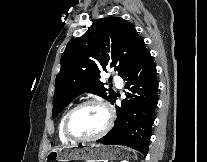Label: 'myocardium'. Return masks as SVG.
<instances>
[{
    "instance_id": "1",
    "label": "myocardium",
    "mask_w": 207,
    "mask_h": 162,
    "mask_svg": "<svg viewBox=\"0 0 207 162\" xmlns=\"http://www.w3.org/2000/svg\"><path fill=\"white\" fill-rule=\"evenodd\" d=\"M89 105H99L102 108H104V110L106 112V116H107L105 126L103 127V129L99 133H97L95 135L86 136V137L75 136L69 130V123H70L71 119L73 118V116L77 112H79L81 109H83ZM114 117H115L114 110L108 102H106L105 100H103L101 98L88 99V100L80 103L76 107H74L66 115V117L63 121V126H62L63 136L68 141H91V140L99 139V138L103 137L111 129L113 122H114Z\"/></svg>"
}]
</instances>
